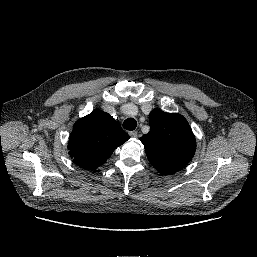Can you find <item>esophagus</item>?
I'll list each match as a JSON object with an SVG mask.
<instances>
[{
  "instance_id": "34e87169",
  "label": "esophagus",
  "mask_w": 257,
  "mask_h": 257,
  "mask_svg": "<svg viewBox=\"0 0 257 257\" xmlns=\"http://www.w3.org/2000/svg\"><path fill=\"white\" fill-rule=\"evenodd\" d=\"M129 135L133 138H136L138 136V132L137 131H130Z\"/></svg>"
}]
</instances>
